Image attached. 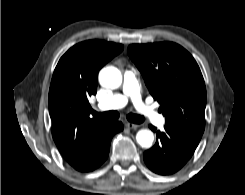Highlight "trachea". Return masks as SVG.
Returning <instances> with one entry per match:
<instances>
[{
    "instance_id": "obj_1",
    "label": "trachea",
    "mask_w": 245,
    "mask_h": 195,
    "mask_svg": "<svg viewBox=\"0 0 245 195\" xmlns=\"http://www.w3.org/2000/svg\"><path fill=\"white\" fill-rule=\"evenodd\" d=\"M92 114L95 116L97 119H103V120H117L119 118V113L117 111H107L103 113H97L95 111H92ZM127 119L132 122V123H142L144 122V117L140 115H135V114H128Z\"/></svg>"
}]
</instances>
